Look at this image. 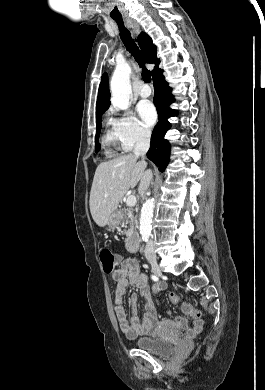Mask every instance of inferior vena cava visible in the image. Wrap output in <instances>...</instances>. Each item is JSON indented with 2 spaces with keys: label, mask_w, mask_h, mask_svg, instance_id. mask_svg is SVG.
<instances>
[{
  "label": "inferior vena cava",
  "mask_w": 265,
  "mask_h": 390,
  "mask_svg": "<svg viewBox=\"0 0 265 390\" xmlns=\"http://www.w3.org/2000/svg\"><path fill=\"white\" fill-rule=\"evenodd\" d=\"M150 136L151 135L149 132H145V131L140 132L138 140H137L135 148H134V154L136 156H141L143 160H144L145 154L147 153V151L150 147ZM151 180H152L151 170L145 171L144 176L142 177V180H141L140 186H139V192L141 194H143L147 190ZM144 253H145L146 257L155 256L156 252H155V247H154L152 240L147 241Z\"/></svg>",
  "instance_id": "obj_1"
}]
</instances>
